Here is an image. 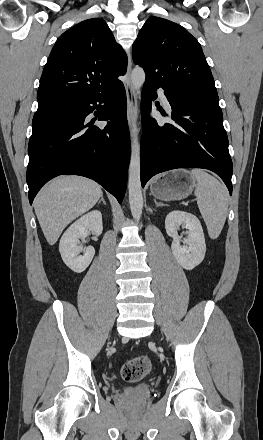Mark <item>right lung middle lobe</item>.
<instances>
[{
    "label": "right lung middle lobe",
    "instance_id": "dd1d6c3e",
    "mask_svg": "<svg viewBox=\"0 0 263 440\" xmlns=\"http://www.w3.org/2000/svg\"><path fill=\"white\" fill-rule=\"evenodd\" d=\"M64 110H65V103L38 107L33 117V122H32L33 130L40 128L41 126L45 125L52 119L62 115Z\"/></svg>",
    "mask_w": 263,
    "mask_h": 440
}]
</instances>
